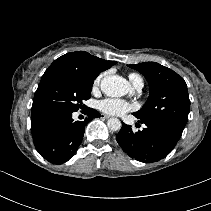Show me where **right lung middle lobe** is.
Instances as JSON below:
<instances>
[{"instance_id": "dd1d6c3e", "label": "right lung middle lobe", "mask_w": 211, "mask_h": 211, "mask_svg": "<svg viewBox=\"0 0 211 211\" xmlns=\"http://www.w3.org/2000/svg\"><path fill=\"white\" fill-rule=\"evenodd\" d=\"M96 77L74 70L54 69L42 77L35 93L31 112L35 114L73 113L87 108Z\"/></svg>"}]
</instances>
